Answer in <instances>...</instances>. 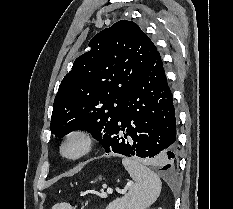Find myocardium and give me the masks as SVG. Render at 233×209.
Returning a JSON list of instances; mask_svg holds the SVG:
<instances>
[{
	"label": "myocardium",
	"instance_id": "f54148a6",
	"mask_svg": "<svg viewBox=\"0 0 233 209\" xmlns=\"http://www.w3.org/2000/svg\"><path fill=\"white\" fill-rule=\"evenodd\" d=\"M93 143V136L88 130L83 128L72 129L60 141V156L69 161L78 160L92 150ZM72 144H76L75 150H70Z\"/></svg>",
	"mask_w": 233,
	"mask_h": 209
}]
</instances>
